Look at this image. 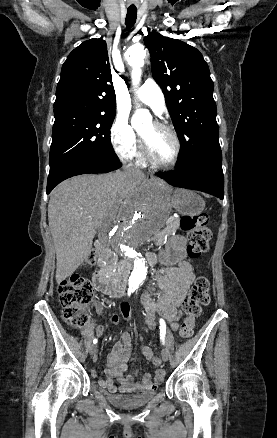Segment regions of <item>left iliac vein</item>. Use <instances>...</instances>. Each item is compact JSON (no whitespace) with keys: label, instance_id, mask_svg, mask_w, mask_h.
Returning <instances> with one entry per match:
<instances>
[{"label":"left iliac vein","instance_id":"left-iliac-vein-1","mask_svg":"<svg viewBox=\"0 0 277 438\" xmlns=\"http://www.w3.org/2000/svg\"><path fill=\"white\" fill-rule=\"evenodd\" d=\"M161 355L164 361H168L170 358V354L167 348H163L161 351Z\"/></svg>","mask_w":277,"mask_h":438}]
</instances>
